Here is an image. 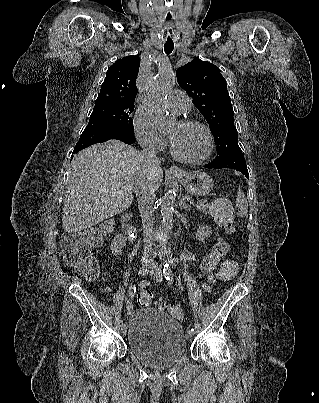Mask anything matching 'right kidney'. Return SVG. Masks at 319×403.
<instances>
[{
    "mask_svg": "<svg viewBox=\"0 0 319 403\" xmlns=\"http://www.w3.org/2000/svg\"><path fill=\"white\" fill-rule=\"evenodd\" d=\"M126 245V237L122 234L116 233L112 243H111V251L114 255H121L122 248Z\"/></svg>",
    "mask_w": 319,
    "mask_h": 403,
    "instance_id": "ca27d5eb",
    "label": "right kidney"
}]
</instances>
